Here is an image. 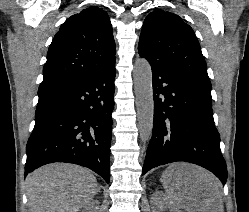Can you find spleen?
<instances>
[{
  "instance_id": "spleen-1",
  "label": "spleen",
  "mask_w": 249,
  "mask_h": 212,
  "mask_svg": "<svg viewBox=\"0 0 249 212\" xmlns=\"http://www.w3.org/2000/svg\"><path fill=\"white\" fill-rule=\"evenodd\" d=\"M172 174V170L171 168H167V170H165V174H163L161 180H162V184H163V188H165L166 192H172V188H170V190H168V178H170ZM170 198L171 196H173V194H169Z\"/></svg>"
}]
</instances>
